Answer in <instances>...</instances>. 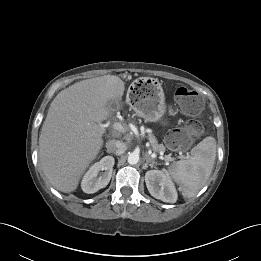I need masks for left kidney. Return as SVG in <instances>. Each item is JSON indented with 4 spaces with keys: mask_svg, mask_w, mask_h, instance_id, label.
Here are the masks:
<instances>
[{
    "mask_svg": "<svg viewBox=\"0 0 261 261\" xmlns=\"http://www.w3.org/2000/svg\"><path fill=\"white\" fill-rule=\"evenodd\" d=\"M145 182L149 193L156 199L166 203H175L177 191L168 175L160 170H150L145 174Z\"/></svg>",
    "mask_w": 261,
    "mask_h": 261,
    "instance_id": "5707ae66",
    "label": "left kidney"
}]
</instances>
